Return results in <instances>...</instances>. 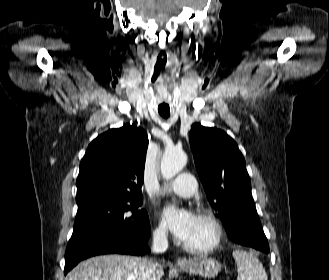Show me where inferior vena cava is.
I'll return each instance as SVG.
<instances>
[{"mask_svg":"<svg viewBox=\"0 0 329 280\" xmlns=\"http://www.w3.org/2000/svg\"><path fill=\"white\" fill-rule=\"evenodd\" d=\"M168 248V239L165 231H155L153 234L152 251L154 253H163ZM161 267L159 263L153 260L142 261L140 266V279L141 280H155V273Z\"/></svg>","mask_w":329,"mask_h":280,"instance_id":"602c4592","label":"inferior vena cava"}]
</instances>
